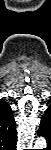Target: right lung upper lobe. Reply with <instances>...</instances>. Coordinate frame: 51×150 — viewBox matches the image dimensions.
<instances>
[{
  "label": "right lung upper lobe",
  "mask_w": 51,
  "mask_h": 150,
  "mask_svg": "<svg viewBox=\"0 0 51 150\" xmlns=\"http://www.w3.org/2000/svg\"><path fill=\"white\" fill-rule=\"evenodd\" d=\"M16 123L9 104L0 100V149L13 150L16 147Z\"/></svg>",
  "instance_id": "right-lung-upper-lobe-1"
}]
</instances>
